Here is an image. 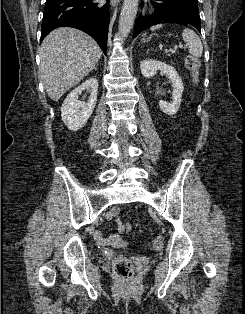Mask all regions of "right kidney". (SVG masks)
<instances>
[{"instance_id": "ca27d5eb", "label": "right kidney", "mask_w": 245, "mask_h": 314, "mask_svg": "<svg viewBox=\"0 0 245 314\" xmlns=\"http://www.w3.org/2000/svg\"><path fill=\"white\" fill-rule=\"evenodd\" d=\"M83 90L91 93L88 102L78 100ZM98 80L90 78L75 88L64 100L61 107V117L65 125L72 131L83 128L90 118L96 105Z\"/></svg>"}]
</instances>
